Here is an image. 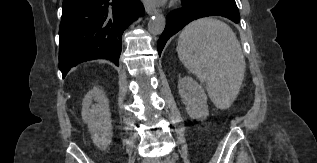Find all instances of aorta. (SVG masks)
I'll return each instance as SVG.
<instances>
[{
    "instance_id": "762f6f07",
    "label": "aorta",
    "mask_w": 317,
    "mask_h": 163,
    "mask_svg": "<svg viewBox=\"0 0 317 163\" xmlns=\"http://www.w3.org/2000/svg\"><path fill=\"white\" fill-rule=\"evenodd\" d=\"M165 25V17L162 14H156L149 21L148 30L153 35H159L164 31Z\"/></svg>"
}]
</instances>
